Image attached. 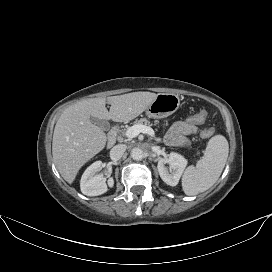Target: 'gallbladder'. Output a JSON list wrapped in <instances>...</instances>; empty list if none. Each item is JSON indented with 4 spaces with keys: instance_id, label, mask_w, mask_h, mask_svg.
<instances>
[{
    "instance_id": "bac80fb5",
    "label": "gallbladder",
    "mask_w": 272,
    "mask_h": 272,
    "mask_svg": "<svg viewBox=\"0 0 272 272\" xmlns=\"http://www.w3.org/2000/svg\"><path fill=\"white\" fill-rule=\"evenodd\" d=\"M91 122L101 128L103 131H108L110 129V124L106 120L91 117Z\"/></svg>"
}]
</instances>
